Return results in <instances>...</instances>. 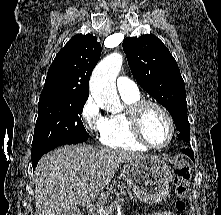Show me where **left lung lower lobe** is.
I'll use <instances>...</instances> for the list:
<instances>
[{"label":"left lung lower lobe","instance_id":"1","mask_svg":"<svg viewBox=\"0 0 221 215\" xmlns=\"http://www.w3.org/2000/svg\"><path fill=\"white\" fill-rule=\"evenodd\" d=\"M184 153H186L188 156H190V158H192L194 160V154L193 151L190 149H183Z\"/></svg>","mask_w":221,"mask_h":215}]
</instances>
